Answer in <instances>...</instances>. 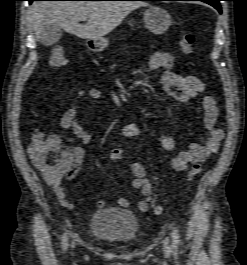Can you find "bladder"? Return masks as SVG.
<instances>
[{
    "label": "bladder",
    "mask_w": 247,
    "mask_h": 265,
    "mask_svg": "<svg viewBox=\"0 0 247 265\" xmlns=\"http://www.w3.org/2000/svg\"><path fill=\"white\" fill-rule=\"evenodd\" d=\"M89 233L113 242H132L139 235V223L131 210L107 207L93 212Z\"/></svg>",
    "instance_id": "1"
}]
</instances>
